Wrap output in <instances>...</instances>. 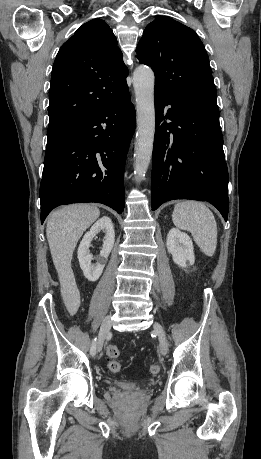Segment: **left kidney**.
<instances>
[{
  "label": "left kidney",
  "mask_w": 261,
  "mask_h": 459,
  "mask_svg": "<svg viewBox=\"0 0 261 459\" xmlns=\"http://www.w3.org/2000/svg\"><path fill=\"white\" fill-rule=\"evenodd\" d=\"M167 250L172 255L173 261L180 267L186 268L193 265L195 256L191 238L177 228H172L167 235Z\"/></svg>",
  "instance_id": "5707ae66"
}]
</instances>
